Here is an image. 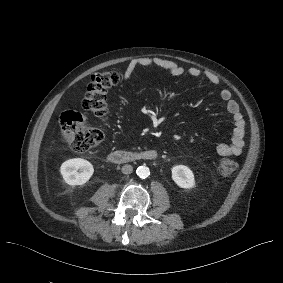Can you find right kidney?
<instances>
[{"label":"right kidney","mask_w":283,"mask_h":283,"mask_svg":"<svg viewBox=\"0 0 283 283\" xmlns=\"http://www.w3.org/2000/svg\"><path fill=\"white\" fill-rule=\"evenodd\" d=\"M63 180L72 186L83 185L93 175V165L82 158L69 159L62 163L60 168Z\"/></svg>","instance_id":"ca27d5eb"}]
</instances>
